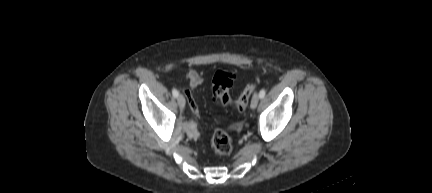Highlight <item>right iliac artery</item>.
<instances>
[{"instance_id":"right-iliac-artery-1","label":"right iliac artery","mask_w":432,"mask_h":193,"mask_svg":"<svg viewBox=\"0 0 432 193\" xmlns=\"http://www.w3.org/2000/svg\"><path fill=\"white\" fill-rule=\"evenodd\" d=\"M172 94H173V96H174L175 98H177L178 95H179V92L177 91V89L173 88V90H172Z\"/></svg>"}]
</instances>
